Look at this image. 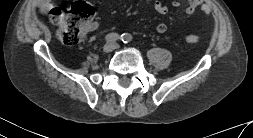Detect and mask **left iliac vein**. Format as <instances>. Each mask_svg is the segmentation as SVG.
Here are the masks:
<instances>
[{"mask_svg": "<svg viewBox=\"0 0 253 138\" xmlns=\"http://www.w3.org/2000/svg\"><path fill=\"white\" fill-rule=\"evenodd\" d=\"M115 48H118L119 46L118 45H114Z\"/></svg>", "mask_w": 253, "mask_h": 138, "instance_id": "1", "label": "left iliac vein"}]
</instances>
